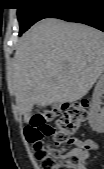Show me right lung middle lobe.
Listing matches in <instances>:
<instances>
[{"label": "right lung middle lobe", "instance_id": "obj_1", "mask_svg": "<svg viewBox=\"0 0 104 169\" xmlns=\"http://www.w3.org/2000/svg\"><path fill=\"white\" fill-rule=\"evenodd\" d=\"M66 0H16L17 17L20 25L19 35L37 21L46 18Z\"/></svg>", "mask_w": 104, "mask_h": 169}]
</instances>
